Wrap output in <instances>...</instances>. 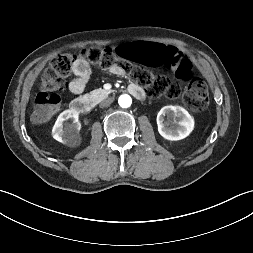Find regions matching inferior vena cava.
<instances>
[{
	"label": "inferior vena cava",
	"mask_w": 253,
	"mask_h": 253,
	"mask_svg": "<svg viewBox=\"0 0 253 253\" xmlns=\"http://www.w3.org/2000/svg\"><path fill=\"white\" fill-rule=\"evenodd\" d=\"M112 102H113V99H112V98H108V99H106V100H103V101L100 103L99 107H100V108L108 107Z\"/></svg>",
	"instance_id": "602c4592"
}]
</instances>
